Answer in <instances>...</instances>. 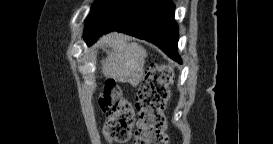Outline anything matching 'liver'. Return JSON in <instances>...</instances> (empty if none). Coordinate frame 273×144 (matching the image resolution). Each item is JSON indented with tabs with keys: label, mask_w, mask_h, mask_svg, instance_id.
I'll return each mask as SVG.
<instances>
[{
	"label": "liver",
	"mask_w": 273,
	"mask_h": 144,
	"mask_svg": "<svg viewBox=\"0 0 273 144\" xmlns=\"http://www.w3.org/2000/svg\"><path fill=\"white\" fill-rule=\"evenodd\" d=\"M107 57L101 60V70L105 77L129 83L136 87L144 78V65L147 52L136 42L122 33H110L103 38Z\"/></svg>",
	"instance_id": "obj_1"
}]
</instances>
